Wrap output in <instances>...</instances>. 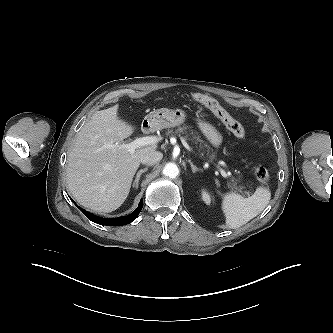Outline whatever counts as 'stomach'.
I'll return each mask as SVG.
<instances>
[{"instance_id": "1", "label": "stomach", "mask_w": 333, "mask_h": 333, "mask_svg": "<svg viewBox=\"0 0 333 333\" xmlns=\"http://www.w3.org/2000/svg\"><path fill=\"white\" fill-rule=\"evenodd\" d=\"M187 118L185 110L176 109H158L150 112L145 121L152 129H164L182 125ZM197 126L206 139L214 147L219 148L223 142L222 134L210 123L197 119Z\"/></svg>"}]
</instances>
